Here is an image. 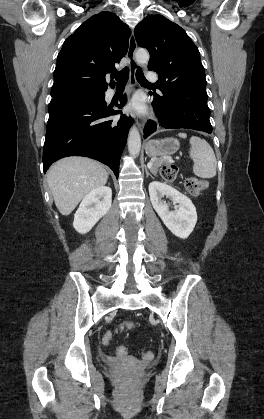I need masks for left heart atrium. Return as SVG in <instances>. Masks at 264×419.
Segmentation results:
<instances>
[{"mask_svg":"<svg viewBox=\"0 0 264 419\" xmlns=\"http://www.w3.org/2000/svg\"><path fill=\"white\" fill-rule=\"evenodd\" d=\"M131 108L138 111V112H143L145 110V102L144 99L141 95H136L131 104H130Z\"/></svg>","mask_w":264,"mask_h":419,"instance_id":"39dd6f15","label":"left heart atrium"}]
</instances>
